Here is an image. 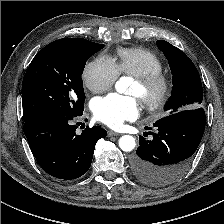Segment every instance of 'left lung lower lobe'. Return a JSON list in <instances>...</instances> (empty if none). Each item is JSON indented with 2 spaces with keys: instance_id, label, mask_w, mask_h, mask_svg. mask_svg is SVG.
Returning <instances> with one entry per match:
<instances>
[{
  "instance_id": "0a47b994",
  "label": "left lung lower lobe",
  "mask_w": 224,
  "mask_h": 224,
  "mask_svg": "<svg viewBox=\"0 0 224 224\" xmlns=\"http://www.w3.org/2000/svg\"><path fill=\"white\" fill-rule=\"evenodd\" d=\"M202 107L172 113L153 124L152 140L139 136L132 159L133 173L141 182L163 186L178 179L189 167L205 129Z\"/></svg>"
}]
</instances>
